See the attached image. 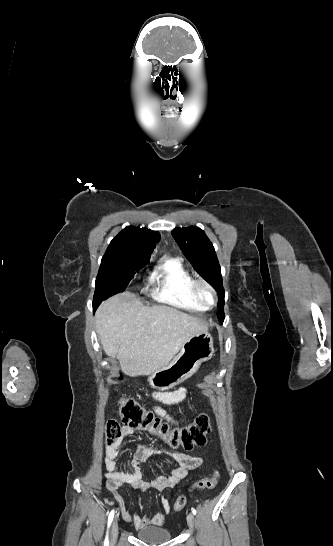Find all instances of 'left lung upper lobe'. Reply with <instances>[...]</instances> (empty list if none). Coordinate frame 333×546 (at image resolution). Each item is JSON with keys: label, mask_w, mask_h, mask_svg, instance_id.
<instances>
[{"label": "left lung upper lobe", "mask_w": 333, "mask_h": 546, "mask_svg": "<svg viewBox=\"0 0 333 546\" xmlns=\"http://www.w3.org/2000/svg\"><path fill=\"white\" fill-rule=\"evenodd\" d=\"M172 235L197 273L217 292L219 299L218 320H224V288L221 267L214 247L205 232L198 227L175 228Z\"/></svg>", "instance_id": "1"}]
</instances>
